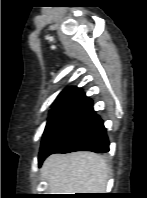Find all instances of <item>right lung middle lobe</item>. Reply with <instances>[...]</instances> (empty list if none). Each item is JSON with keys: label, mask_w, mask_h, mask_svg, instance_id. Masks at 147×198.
<instances>
[{"label": "right lung middle lobe", "mask_w": 147, "mask_h": 198, "mask_svg": "<svg viewBox=\"0 0 147 198\" xmlns=\"http://www.w3.org/2000/svg\"><path fill=\"white\" fill-rule=\"evenodd\" d=\"M72 109L73 107H53V109L50 110V115L43 134L41 146L64 122V120L70 114Z\"/></svg>", "instance_id": "1"}]
</instances>
